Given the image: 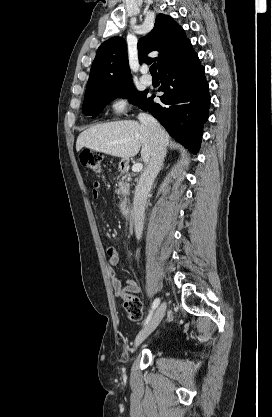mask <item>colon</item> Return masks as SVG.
I'll list each match as a JSON object with an SVG mask.
<instances>
[{"instance_id":"colon-1","label":"colon","mask_w":272,"mask_h":417,"mask_svg":"<svg viewBox=\"0 0 272 417\" xmlns=\"http://www.w3.org/2000/svg\"><path fill=\"white\" fill-rule=\"evenodd\" d=\"M81 163L95 173H100L103 170V157L102 155L91 149H84L80 154ZM124 309L127 317L134 322L140 321L142 318V303L134 295L124 293Z\"/></svg>"}]
</instances>
